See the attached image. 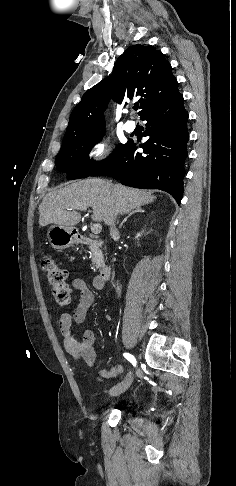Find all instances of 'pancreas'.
<instances>
[{
  "mask_svg": "<svg viewBox=\"0 0 236 486\" xmlns=\"http://www.w3.org/2000/svg\"><path fill=\"white\" fill-rule=\"evenodd\" d=\"M92 268L98 269L104 264L103 256L101 251L92 252Z\"/></svg>",
  "mask_w": 236,
  "mask_h": 486,
  "instance_id": "1",
  "label": "pancreas"
}]
</instances>
